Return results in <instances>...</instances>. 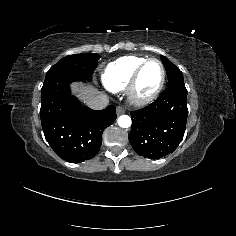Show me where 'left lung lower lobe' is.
Here are the masks:
<instances>
[{
    "mask_svg": "<svg viewBox=\"0 0 236 236\" xmlns=\"http://www.w3.org/2000/svg\"><path fill=\"white\" fill-rule=\"evenodd\" d=\"M186 99L185 84H174L149 106L131 112L129 142L138 155L159 159L178 147L186 129Z\"/></svg>",
    "mask_w": 236,
    "mask_h": 236,
    "instance_id": "0a47b994",
    "label": "left lung lower lobe"
}]
</instances>
